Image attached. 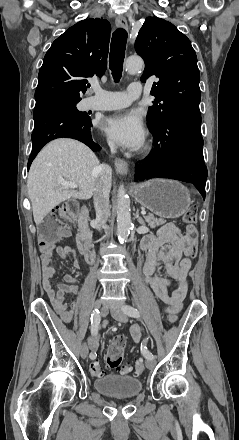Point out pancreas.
<instances>
[{"mask_svg":"<svg viewBox=\"0 0 239 440\" xmlns=\"http://www.w3.org/2000/svg\"><path fill=\"white\" fill-rule=\"evenodd\" d=\"M148 226L150 228H156V226H162V224H166L167 220H164V218H155L153 214H148V216H144Z\"/></svg>","mask_w":239,"mask_h":440,"instance_id":"pancreas-1","label":"pancreas"}]
</instances>
